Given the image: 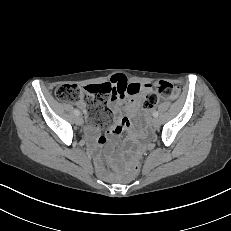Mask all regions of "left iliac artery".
Here are the masks:
<instances>
[{"label":"left iliac artery","instance_id":"obj_1","mask_svg":"<svg viewBox=\"0 0 231 231\" xmlns=\"http://www.w3.org/2000/svg\"><path fill=\"white\" fill-rule=\"evenodd\" d=\"M154 117H158L159 113L157 111H154L152 114Z\"/></svg>","mask_w":231,"mask_h":231}]
</instances>
